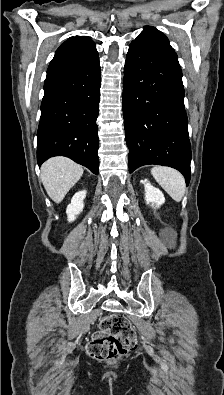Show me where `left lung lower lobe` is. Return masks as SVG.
Returning <instances> with one entry per match:
<instances>
[{"label": "left lung lower lobe", "instance_id": "left-lung-lower-lobe-1", "mask_svg": "<svg viewBox=\"0 0 224 395\" xmlns=\"http://www.w3.org/2000/svg\"><path fill=\"white\" fill-rule=\"evenodd\" d=\"M123 115L129 172L156 164L190 181L191 146L177 56L132 42L126 56Z\"/></svg>", "mask_w": 224, "mask_h": 395}]
</instances>
